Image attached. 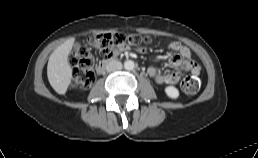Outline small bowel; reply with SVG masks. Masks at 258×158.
<instances>
[{"label":"small bowel","instance_id":"1","mask_svg":"<svg viewBox=\"0 0 258 158\" xmlns=\"http://www.w3.org/2000/svg\"><path fill=\"white\" fill-rule=\"evenodd\" d=\"M170 49L178 52L168 59V63L176 68V71L160 73L155 66L148 68V74L157 84H176L181 77V71H189L195 76H199L201 72L200 66L190 59V50L180 42L174 41L169 44Z\"/></svg>","mask_w":258,"mask_h":158}]
</instances>
